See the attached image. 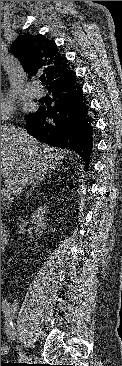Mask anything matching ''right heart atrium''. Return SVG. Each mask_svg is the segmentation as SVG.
I'll list each match as a JSON object with an SVG mask.
<instances>
[{"label": "right heart atrium", "mask_w": 122, "mask_h": 366, "mask_svg": "<svg viewBox=\"0 0 122 366\" xmlns=\"http://www.w3.org/2000/svg\"><path fill=\"white\" fill-rule=\"evenodd\" d=\"M14 112V105L10 98L1 94V123L8 120Z\"/></svg>", "instance_id": "d8ad5b80"}]
</instances>
